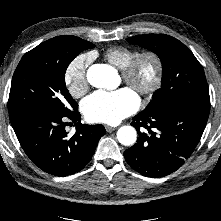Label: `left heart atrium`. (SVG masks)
Returning <instances> with one entry per match:
<instances>
[{
	"label": "left heart atrium",
	"mask_w": 221,
	"mask_h": 221,
	"mask_svg": "<svg viewBox=\"0 0 221 221\" xmlns=\"http://www.w3.org/2000/svg\"><path fill=\"white\" fill-rule=\"evenodd\" d=\"M139 104L136 92L123 87L115 91L94 92L83 101L82 110L91 122L116 124L134 113Z\"/></svg>",
	"instance_id": "1"
}]
</instances>
